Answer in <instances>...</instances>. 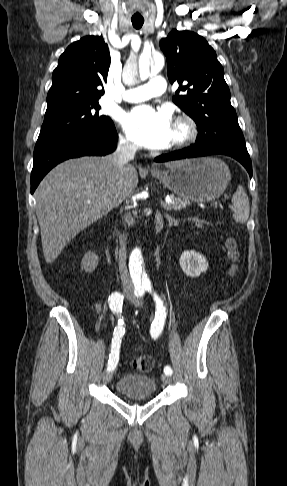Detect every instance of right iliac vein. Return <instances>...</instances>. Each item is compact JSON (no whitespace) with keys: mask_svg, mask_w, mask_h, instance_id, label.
<instances>
[{"mask_svg":"<svg viewBox=\"0 0 287 486\" xmlns=\"http://www.w3.org/2000/svg\"><path fill=\"white\" fill-rule=\"evenodd\" d=\"M127 296H130V292H126ZM102 379L104 383H109L112 380V373L104 372L102 375Z\"/></svg>","mask_w":287,"mask_h":486,"instance_id":"1","label":"right iliac vein"}]
</instances>
